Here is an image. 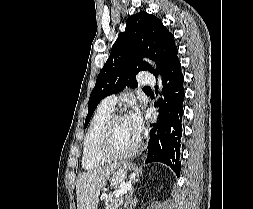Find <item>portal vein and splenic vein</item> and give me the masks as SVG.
<instances>
[{
  "label": "portal vein and splenic vein",
  "mask_w": 253,
  "mask_h": 209,
  "mask_svg": "<svg viewBox=\"0 0 253 209\" xmlns=\"http://www.w3.org/2000/svg\"><path fill=\"white\" fill-rule=\"evenodd\" d=\"M130 188L131 182H128L126 185L122 186L118 191H116L115 198H118L121 195L125 194Z\"/></svg>",
  "instance_id": "portal-vein-and-splenic-vein-1"
}]
</instances>
